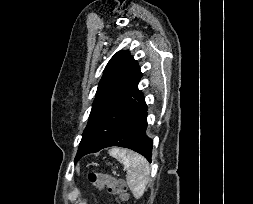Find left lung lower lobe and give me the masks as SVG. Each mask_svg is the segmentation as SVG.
Instances as JSON below:
<instances>
[{
  "instance_id": "1",
  "label": "left lung lower lobe",
  "mask_w": 253,
  "mask_h": 204,
  "mask_svg": "<svg viewBox=\"0 0 253 204\" xmlns=\"http://www.w3.org/2000/svg\"><path fill=\"white\" fill-rule=\"evenodd\" d=\"M146 117L144 96L137 88L87 125L75 162L86 154L111 146L132 149L151 162L153 141L146 135Z\"/></svg>"
}]
</instances>
